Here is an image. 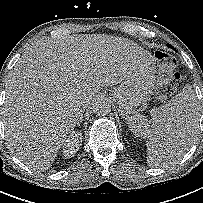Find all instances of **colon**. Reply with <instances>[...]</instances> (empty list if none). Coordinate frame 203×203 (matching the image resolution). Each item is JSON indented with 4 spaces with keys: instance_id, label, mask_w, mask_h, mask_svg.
<instances>
[{
    "instance_id": "obj_1",
    "label": "colon",
    "mask_w": 203,
    "mask_h": 203,
    "mask_svg": "<svg viewBox=\"0 0 203 203\" xmlns=\"http://www.w3.org/2000/svg\"><path fill=\"white\" fill-rule=\"evenodd\" d=\"M158 63V77L156 92L160 98H167L177 89L181 75L176 70L177 61L162 51L155 52Z\"/></svg>"
}]
</instances>
